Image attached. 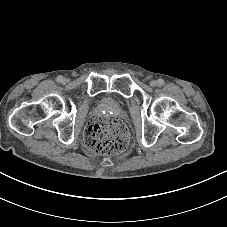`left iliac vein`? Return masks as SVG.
<instances>
[{"mask_svg": "<svg viewBox=\"0 0 227 227\" xmlns=\"http://www.w3.org/2000/svg\"><path fill=\"white\" fill-rule=\"evenodd\" d=\"M157 85H158V83H157L156 80H152V81L150 82V86H151V87H156Z\"/></svg>", "mask_w": 227, "mask_h": 227, "instance_id": "4c4485c4", "label": "left iliac vein"}]
</instances>
